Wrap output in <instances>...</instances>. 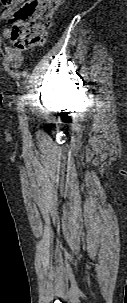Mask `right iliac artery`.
I'll use <instances>...</instances> for the list:
<instances>
[{
	"mask_svg": "<svg viewBox=\"0 0 127 303\" xmlns=\"http://www.w3.org/2000/svg\"><path fill=\"white\" fill-rule=\"evenodd\" d=\"M18 113H19L20 122L24 123L25 120H26V115L24 113V99H23V97L19 101Z\"/></svg>",
	"mask_w": 127,
	"mask_h": 303,
	"instance_id": "right-iliac-artery-1",
	"label": "right iliac artery"
}]
</instances>
